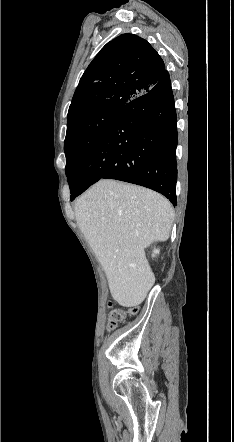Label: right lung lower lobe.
I'll list each match as a JSON object with an SVG mask.
<instances>
[{
  "instance_id": "98d812e1",
  "label": "right lung lower lobe",
  "mask_w": 234,
  "mask_h": 442,
  "mask_svg": "<svg viewBox=\"0 0 234 442\" xmlns=\"http://www.w3.org/2000/svg\"><path fill=\"white\" fill-rule=\"evenodd\" d=\"M177 116L166 71L146 93L120 108L70 176L71 200L101 178L141 185L176 205Z\"/></svg>"
}]
</instances>
